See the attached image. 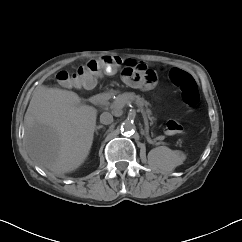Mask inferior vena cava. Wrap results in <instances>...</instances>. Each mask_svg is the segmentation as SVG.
I'll use <instances>...</instances> for the list:
<instances>
[{"label": "inferior vena cava", "mask_w": 242, "mask_h": 242, "mask_svg": "<svg viewBox=\"0 0 242 242\" xmlns=\"http://www.w3.org/2000/svg\"><path fill=\"white\" fill-rule=\"evenodd\" d=\"M100 122L104 125L111 124L113 122V115L109 112H103L100 115Z\"/></svg>", "instance_id": "1"}]
</instances>
